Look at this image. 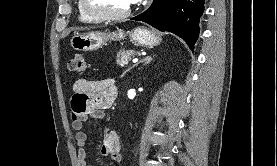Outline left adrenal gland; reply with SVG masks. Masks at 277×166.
<instances>
[{"label":"left adrenal gland","mask_w":277,"mask_h":166,"mask_svg":"<svg viewBox=\"0 0 277 166\" xmlns=\"http://www.w3.org/2000/svg\"><path fill=\"white\" fill-rule=\"evenodd\" d=\"M153 60V58L151 56H145L143 59H141L138 63H136L135 65H133L132 67H130L127 71H129L130 69L134 68L135 66H137L140 63H143V65H147L149 64L151 61ZM126 71V72H127ZM125 72V73H126Z\"/></svg>","instance_id":"left-adrenal-gland-1"}]
</instances>
